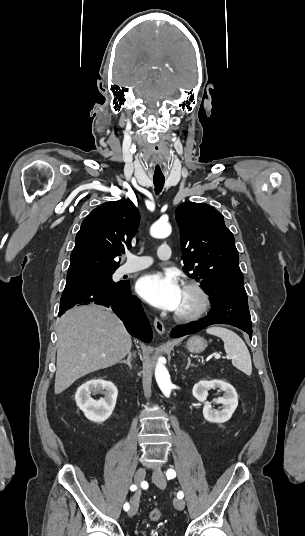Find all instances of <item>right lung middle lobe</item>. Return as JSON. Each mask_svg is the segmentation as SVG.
Wrapping results in <instances>:
<instances>
[{"instance_id":"obj_1","label":"right lung middle lobe","mask_w":305,"mask_h":536,"mask_svg":"<svg viewBox=\"0 0 305 536\" xmlns=\"http://www.w3.org/2000/svg\"><path fill=\"white\" fill-rule=\"evenodd\" d=\"M115 270L100 272L95 274L75 276L67 278L66 286L71 285H93L98 287L110 288L120 283H114L112 280V275Z\"/></svg>"}]
</instances>
